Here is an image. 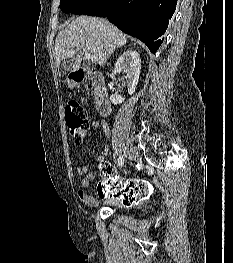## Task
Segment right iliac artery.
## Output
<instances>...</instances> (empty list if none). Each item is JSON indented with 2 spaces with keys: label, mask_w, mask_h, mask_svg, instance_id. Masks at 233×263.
Masks as SVG:
<instances>
[{
  "label": "right iliac artery",
  "mask_w": 233,
  "mask_h": 263,
  "mask_svg": "<svg viewBox=\"0 0 233 263\" xmlns=\"http://www.w3.org/2000/svg\"><path fill=\"white\" fill-rule=\"evenodd\" d=\"M118 165L120 166V168L123 167V165H124V159H123V156H120V157L118 158Z\"/></svg>",
  "instance_id": "right-iliac-artery-1"
}]
</instances>
